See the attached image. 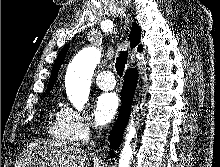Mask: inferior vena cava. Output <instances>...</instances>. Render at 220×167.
<instances>
[{
    "mask_svg": "<svg viewBox=\"0 0 220 167\" xmlns=\"http://www.w3.org/2000/svg\"><path fill=\"white\" fill-rule=\"evenodd\" d=\"M92 126H93V128L97 129V126H96L95 124H92ZM92 146L94 147L95 144H92ZM91 148H92V147H90V149H91Z\"/></svg>",
    "mask_w": 220,
    "mask_h": 167,
    "instance_id": "602c4592",
    "label": "inferior vena cava"
}]
</instances>
